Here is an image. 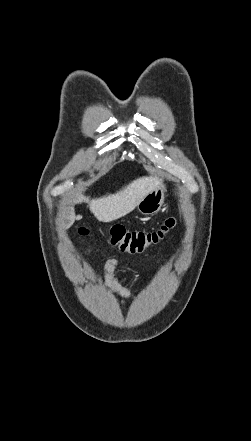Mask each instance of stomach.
Returning a JSON list of instances; mask_svg holds the SVG:
<instances>
[{
  "mask_svg": "<svg viewBox=\"0 0 251 441\" xmlns=\"http://www.w3.org/2000/svg\"><path fill=\"white\" fill-rule=\"evenodd\" d=\"M165 187L160 184L152 192L148 193L137 205L139 212L143 215H152L158 212L164 202Z\"/></svg>",
  "mask_w": 251,
  "mask_h": 441,
  "instance_id": "0dacf381",
  "label": "stomach"
}]
</instances>
